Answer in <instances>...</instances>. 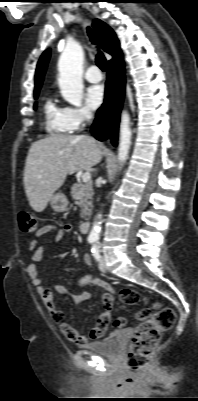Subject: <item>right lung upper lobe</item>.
Instances as JSON below:
<instances>
[{"label":"right lung upper lobe","mask_w":198,"mask_h":401,"mask_svg":"<svg viewBox=\"0 0 198 401\" xmlns=\"http://www.w3.org/2000/svg\"><path fill=\"white\" fill-rule=\"evenodd\" d=\"M92 25L95 31L97 32V35L99 36L100 44L101 47L104 49V51L109 53L113 57L119 54L121 50L119 48V41L114 31L107 24H105L99 19H95ZM49 58H50V49L46 50L41 55L38 61L35 73V89H34L35 94L39 93V90L41 88Z\"/></svg>","instance_id":"right-lung-upper-lobe-1"}]
</instances>
